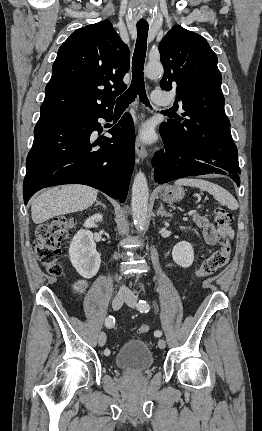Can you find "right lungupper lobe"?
I'll return each mask as SVG.
<instances>
[{"label": "right lung upper lobe", "mask_w": 262, "mask_h": 431, "mask_svg": "<svg viewBox=\"0 0 262 431\" xmlns=\"http://www.w3.org/2000/svg\"><path fill=\"white\" fill-rule=\"evenodd\" d=\"M129 66V49L110 21L76 30L58 50L40 117L112 112Z\"/></svg>", "instance_id": "1"}]
</instances>
